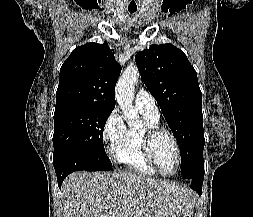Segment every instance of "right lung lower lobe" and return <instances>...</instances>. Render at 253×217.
<instances>
[{"mask_svg": "<svg viewBox=\"0 0 253 217\" xmlns=\"http://www.w3.org/2000/svg\"><path fill=\"white\" fill-rule=\"evenodd\" d=\"M53 165L57 175L59 187H61L65 177L74 171H96L93 170L92 162L86 156L77 152H68L58 157H54Z\"/></svg>", "mask_w": 253, "mask_h": 217, "instance_id": "1", "label": "right lung lower lobe"}]
</instances>
